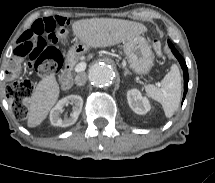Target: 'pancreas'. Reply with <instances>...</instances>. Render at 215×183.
Wrapping results in <instances>:
<instances>
[{
    "instance_id": "pancreas-1",
    "label": "pancreas",
    "mask_w": 215,
    "mask_h": 183,
    "mask_svg": "<svg viewBox=\"0 0 215 183\" xmlns=\"http://www.w3.org/2000/svg\"><path fill=\"white\" fill-rule=\"evenodd\" d=\"M76 61H71V66H74Z\"/></svg>"
}]
</instances>
